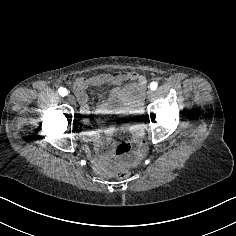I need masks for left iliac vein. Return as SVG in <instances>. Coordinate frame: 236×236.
Returning a JSON list of instances; mask_svg holds the SVG:
<instances>
[{"instance_id":"4c4485c4","label":"left iliac vein","mask_w":236,"mask_h":236,"mask_svg":"<svg viewBox=\"0 0 236 236\" xmlns=\"http://www.w3.org/2000/svg\"><path fill=\"white\" fill-rule=\"evenodd\" d=\"M149 97H150V99H151V101H156V99H157V97H158V94L155 92V91H149Z\"/></svg>"}]
</instances>
